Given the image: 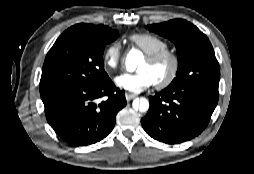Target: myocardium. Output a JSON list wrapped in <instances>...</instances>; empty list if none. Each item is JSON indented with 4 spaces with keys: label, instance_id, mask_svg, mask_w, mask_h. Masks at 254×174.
Wrapping results in <instances>:
<instances>
[{
    "label": "myocardium",
    "instance_id": "obj_1",
    "mask_svg": "<svg viewBox=\"0 0 254 174\" xmlns=\"http://www.w3.org/2000/svg\"><path fill=\"white\" fill-rule=\"evenodd\" d=\"M145 59L147 62L151 64L158 63L159 61L164 59H169L171 62V68H170V72L168 76L164 80L155 83V87L158 90L166 89L174 82V80L176 79L178 75L179 67H180L179 57L174 51L170 49H164V50L146 55Z\"/></svg>",
    "mask_w": 254,
    "mask_h": 174
}]
</instances>
